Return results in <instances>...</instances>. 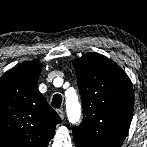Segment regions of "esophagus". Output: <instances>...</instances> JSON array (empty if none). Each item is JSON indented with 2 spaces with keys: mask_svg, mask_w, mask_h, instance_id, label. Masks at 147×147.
Segmentation results:
<instances>
[{
  "mask_svg": "<svg viewBox=\"0 0 147 147\" xmlns=\"http://www.w3.org/2000/svg\"><path fill=\"white\" fill-rule=\"evenodd\" d=\"M56 112L58 113V115L60 116L61 119L64 118V112L62 109H57Z\"/></svg>",
  "mask_w": 147,
  "mask_h": 147,
  "instance_id": "esophagus-1",
  "label": "esophagus"
}]
</instances>
